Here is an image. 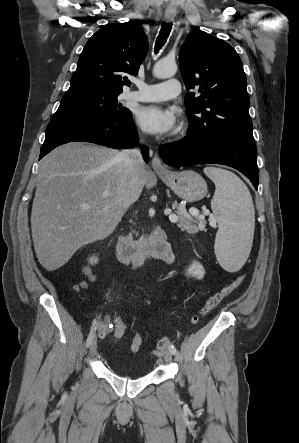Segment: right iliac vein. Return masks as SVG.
Returning <instances> with one entry per match:
<instances>
[{
  "instance_id": "63e3f726",
  "label": "right iliac vein",
  "mask_w": 299,
  "mask_h": 443,
  "mask_svg": "<svg viewBox=\"0 0 299 443\" xmlns=\"http://www.w3.org/2000/svg\"><path fill=\"white\" fill-rule=\"evenodd\" d=\"M89 353L91 356L95 355L97 353V344L96 342H93L90 346Z\"/></svg>"
}]
</instances>
